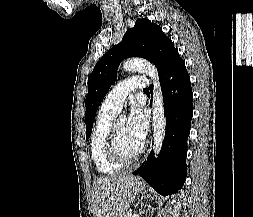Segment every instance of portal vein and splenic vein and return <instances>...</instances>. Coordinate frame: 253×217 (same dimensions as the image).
Here are the masks:
<instances>
[{
  "label": "portal vein and splenic vein",
  "instance_id": "portal-vein-and-splenic-vein-1",
  "mask_svg": "<svg viewBox=\"0 0 253 217\" xmlns=\"http://www.w3.org/2000/svg\"><path fill=\"white\" fill-rule=\"evenodd\" d=\"M128 216L129 217H139L138 215H131V214H129Z\"/></svg>",
  "mask_w": 253,
  "mask_h": 217
}]
</instances>
